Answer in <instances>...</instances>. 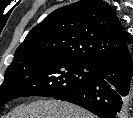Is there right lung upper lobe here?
<instances>
[{"label": "right lung upper lobe", "mask_w": 133, "mask_h": 118, "mask_svg": "<svg viewBox=\"0 0 133 118\" xmlns=\"http://www.w3.org/2000/svg\"><path fill=\"white\" fill-rule=\"evenodd\" d=\"M127 48L128 33L111 6L103 0H81L56 9L33 27L7 70L47 58L96 68Z\"/></svg>", "instance_id": "right-lung-upper-lobe-1"}]
</instances>
